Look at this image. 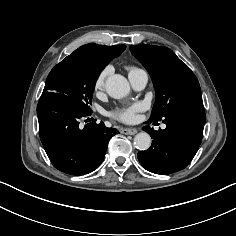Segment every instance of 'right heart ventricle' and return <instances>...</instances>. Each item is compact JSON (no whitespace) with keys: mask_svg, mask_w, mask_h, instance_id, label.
I'll return each mask as SVG.
<instances>
[{"mask_svg":"<svg viewBox=\"0 0 236 236\" xmlns=\"http://www.w3.org/2000/svg\"><path fill=\"white\" fill-rule=\"evenodd\" d=\"M136 70H139V68H136V67H130V68H129V74H130L131 72L136 71Z\"/></svg>","mask_w":236,"mask_h":236,"instance_id":"obj_1","label":"right heart ventricle"}]
</instances>
